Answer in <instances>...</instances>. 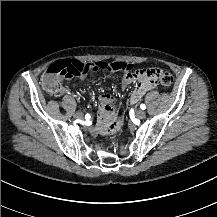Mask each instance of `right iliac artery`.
Listing matches in <instances>:
<instances>
[{
	"label": "right iliac artery",
	"instance_id": "right-iliac-artery-1",
	"mask_svg": "<svg viewBox=\"0 0 217 217\" xmlns=\"http://www.w3.org/2000/svg\"><path fill=\"white\" fill-rule=\"evenodd\" d=\"M85 118H86V120H91V118H92V115L90 114V113H87L86 115H85Z\"/></svg>",
	"mask_w": 217,
	"mask_h": 217
}]
</instances>
